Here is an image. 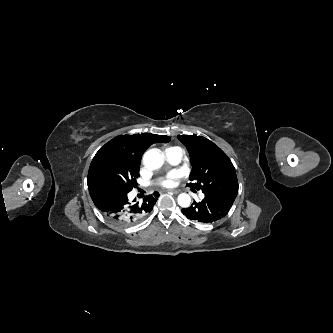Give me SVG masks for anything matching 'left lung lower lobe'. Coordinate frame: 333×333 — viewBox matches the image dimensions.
<instances>
[{"label": "left lung lower lobe", "instance_id": "left-lung-lower-lobe-1", "mask_svg": "<svg viewBox=\"0 0 333 333\" xmlns=\"http://www.w3.org/2000/svg\"><path fill=\"white\" fill-rule=\"evenodd\" d=\"M235 199L213 194H205L201 202H194L188 208H183L182 213L191 220L203 223H212L223 218L232 207Z\"/></svg>", "mask_w": 333, "mask_h": 333}]
</instances>
